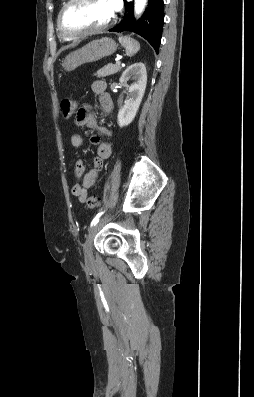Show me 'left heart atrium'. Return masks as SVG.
<instances>
[{
  "instance_id": "left-heart-atrium-1",
  "label": "left heart atrium",
  "mask_w": 254,
  "mask_h": 397,
  "mask_svg": "<svg viewBox=\"0 0 254 397\" xmlns=\"http://www.w3.org/2000/svg\"><path fill=\"white\" fill-rule=\"evenodd\" d=\"M107 5L112 13L118 11L121 6V0H106Z\"/></svg>"
}]
</instances>
